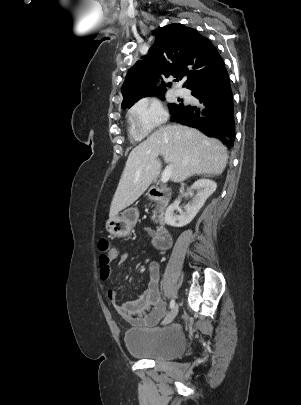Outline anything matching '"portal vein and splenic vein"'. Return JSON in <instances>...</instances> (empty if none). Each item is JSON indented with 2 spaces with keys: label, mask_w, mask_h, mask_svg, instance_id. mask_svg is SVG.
Returning <instances> with one entry per match:
<instances>
[{
  "label": "portal vein and splenic vein",
  "mask_w": 301,
  "mask_h": 405,
  "mask_svg": "<svg viewBox=\"0 0 301 405\" xmlns=\"http://www.w3.org/2000/svg\"><path fill=\"white\" fill-rule=\"evenodd\" d=\"M172 167L167 166L161 175V182L166 183L171 176Z\"/></svg>",
  "instance_id": "18ae733b"
}]
</instances>
